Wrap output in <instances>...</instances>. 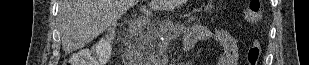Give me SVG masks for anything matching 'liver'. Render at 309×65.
Here are the masks:
<instances>
[{
    "label": "liver",
    "instance_id": "liver-1",
    "mask_svg": "<svg viewBox=\"0 0 309 65\" xmlns=\"http://www.w3.org/2000/svg\"><path fill=\"white\" fill-rule=\"evenodd\" d=\"M138 0H60L58 29L63 49L71 53L103 33ZM184 0H151L153 10H173Z\"/></svg>",
    "mask_w": 309,
    "mask_h": 65
}]
</instances>
